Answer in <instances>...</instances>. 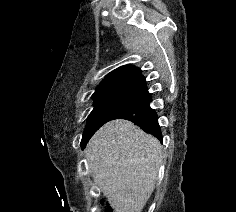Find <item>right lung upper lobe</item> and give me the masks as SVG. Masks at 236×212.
Segmentation results:
<instances>
[{"label": "right lung upper lobe", "mask_w": 236, "mask_h": 212, "mask_svg": "<svg viewBox=\"0 0 236 212\" xmlns=\"http://www.w3.org/2000/svg\"><path fill=\"white\" fill-rule=\"evenodd\" d=\"M145 77L141 70L133 65L121 66L110 72L98 85L92 97L115 92L131 91Z\"/></svg>", "instance_id": "obj_1"}]
</instances>
